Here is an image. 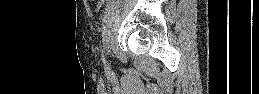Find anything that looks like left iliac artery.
Masks as SVG:
<instances>
[{
	"label": "left iliac artery",
	"mask_w": 259,
	"mask_h": 94,
	"mask_svg": "<svg viewBox=\"0 0 259 94\" xmlns=\"http://www.w3.org/2000/svg\"><path fill=\"white\" fill-rule=\"evenodd\" d=\"M102 60H103V63L105 65V67L107 68V63H106V60H105L104 56H102Z\"/></svg>",
	"instance_id": "1"
}]
</instances>
